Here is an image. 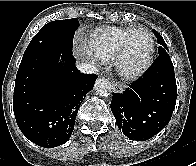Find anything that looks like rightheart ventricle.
<instances>
[{
  "instance_id": "e07e8e85",
  "label": "right heart ventricle",
  "mask_w": 196,
  "mask_h": 166,
  "mask_svg": "<svg viewBox=\"0 0 196 166\" xmlns=\"http://www.w3.org/2000/svg\"><path fill=\"white\" fill-rule=\"evenodd\" d=\"M131 30L132 28L109 27L97 31L89 40L91 54L104 62L117 59Z\"/></svg>"
}]
</instances>
